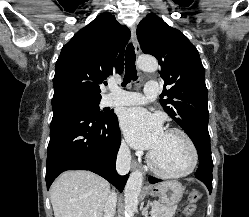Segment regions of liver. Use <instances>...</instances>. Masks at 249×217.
<instances>
[{"instance_id": "1", "label": "liver", "mask_w": 249, "mask_h": 217, "mask_svg": "<svg viewBox=\"0 0 249 217\" xmlns=\"http://www.w3.org/2000/svg\"><path fill=\"white\" fill-rule=\"evenodd\" d=\"M109 183L85 170L63 173L50 188L54 217H102Z\"/></svg>"}]
</instances>
